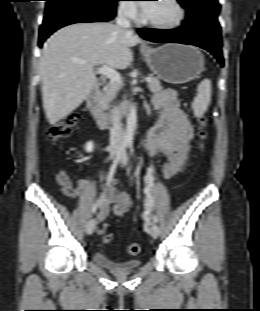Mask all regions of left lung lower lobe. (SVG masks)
Listing matches in <instances>:
<instances>
[{"mask_svg":"<svg viewBox=\"0 0 260 311\" xmlns=\"http://www.w3.org/2000/svg\"><path fill=\"white\" fill-rule=\"evenodd\" d=\"M141 37L153 42L190 44L211 52L224 66L222 57L221 30L204 24H186L172 30L138 29Z\"/></svg>","mask_w":260,"mask_h":311,"instance_id":"0a47b994","label":"left lung lower lobe"}]
</instances>
